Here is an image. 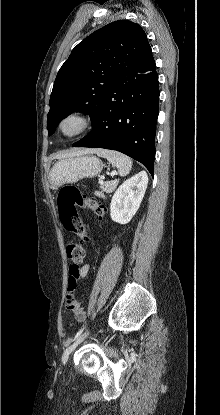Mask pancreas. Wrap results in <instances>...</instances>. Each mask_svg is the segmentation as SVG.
Segmentation results:
<instances>
[{
	"label": "pancreas",
	"mask_w": 220,
	"mask_h": 415,
	"mask_svg": "<svg viewBox=\"0 0 220 415\" xmlns=\"http://www.w3.org/2000/svg\"><path fill=\"white\" fill-rule=\"evenodd\" d=\"M118 185V180L100 182V188L106 193H112Z\"/></svg>",
	"instance_id": "cf45deb5"
}]
</instances>
